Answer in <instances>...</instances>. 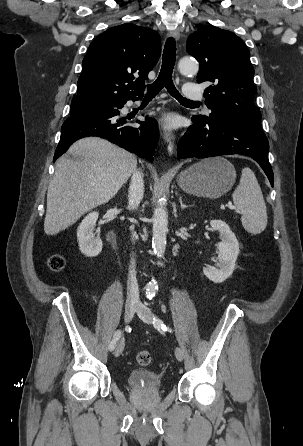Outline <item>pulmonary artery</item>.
Listing matches in <instances>:
<instances>
[{"mask_svg":"<svg viewBox=\"0 0 303 446\" xmlns=\"http://www.w3.org/2000/svg\"><path fill=\"white\" fill-rule=\"evenodd\" d=\"M184 95L189 100H201L202 92L196 84L187 83L184 86Z\"/></svg>","mask_w":303,"mask_h":446,"instance_id":"obj_1","label":"pulmonary artery"}]
</instances>
